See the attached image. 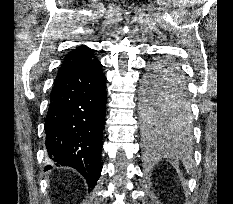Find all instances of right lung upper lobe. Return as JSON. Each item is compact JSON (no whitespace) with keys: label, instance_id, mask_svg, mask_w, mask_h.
I'll return each instance as SVG.
<instances>
[{"label":"right lung upper lobe","instance_id":"cb5924a9","mask_svg":"<svg viewBox=\"0 0 233 204\" xmlns=\"http://www.w3.org/2000/svg\"><path fill=\"white\" fill-rule=\"evenodd\" d=\"M75 64H85V65H93L99 64V61L95 58L93 54V50L86 46L76 47L73 51L69 52L60 67L58 72V77L56 81L62 78L67 69Z\"/></svg>","mask_w":233,"mask_h":204}]
</instances>
